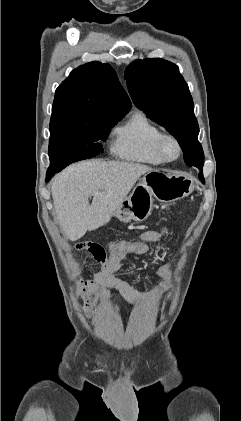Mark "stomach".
<instances>
[{
  "instance_id": "0dacf381",
  "label": "stomach",
  "mask_w": 241,
  "mask_h": 421,
  "mask_svg": "<svg viewBox=\"0 0 241 421\" xmlns=\"http://www.w3.org/2000/svg\"><path fill=\"white\" fill-rule=\"evenodd\" d=\"M195 187L194 179L185 174H175L154 169L147 172L125 198L113 216L122 222L146 220L153 209V197L169 203L189 196Z\"/></svg>"
}]
</instances>
